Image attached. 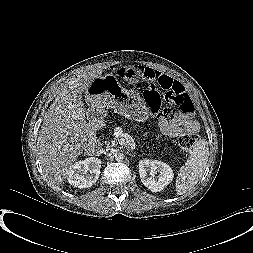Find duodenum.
Instances as JSON below:
<instances>
[{"instance_id": "1", "label": "duodenum", "mask_w": 253, "mask_h": 253, "mask_svg": "<svg viewBox=\"0 0 253 253\" xmlns=\"http://www.w3.org/2000/svg\"><path fill=\"white\" fill-rule=\"evenodd\" d=\"M90 123L94 126H100L103 121V111L99 108H94L89 112ZM98 149L96 143H90L87 147V151L93 153Z\"/></svg>"}]
</instances>
